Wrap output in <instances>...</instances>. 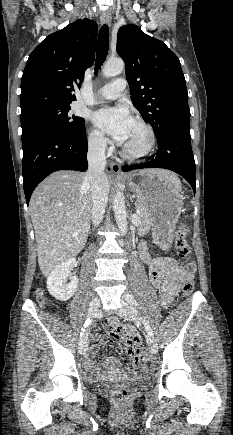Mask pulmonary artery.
I'll return each mask as SVG.
<instances>
[{
    "label": "pulmonary artery",
    "instance_id": "pulmonary-artery-1",
    "mask_svg": "<svg viewBox=\"0 0 233 435\" xmlns=\"http://www.w3.org/2000/svg\"><path fill=\"white\" fill-rule=\"evenodd\" d=\"M126 89V81L123 78H118L115 81L104 85L99 91L94 103L102 100H113L119 98Z\"/></svg>",
    "mask_w": 233,
    "mask_h": 435
}]
</instances>
